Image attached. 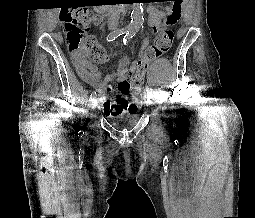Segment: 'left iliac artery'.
Segmentation results:
<instances>
[{
  "instance_id": "1",
  "label": "left iliac artery",
  "mask_w": 255,
  "mask_h": 218,
  "mask_svg": "<svg viewBox=\"0 0 255 218\" xmlns=\"http://www.w3.org/2000/svg\"><path fill=\"white\" fill-rule=\"evenodd\" d=\"M134 35H135L134 31H130L129 33H127L123 38L124 45L128 44V42L130 41V39L133 38ZM145 96L150 100V98H151L150 93H147Z\"/></svg>"
}]
</instances>
